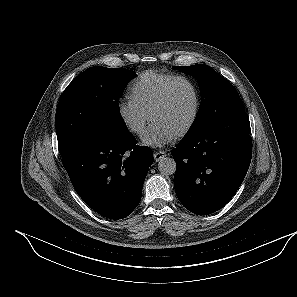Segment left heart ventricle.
<instances>
[{"mask_svg":"<svg viewBox=\"0 0 297 297\" xmlns=\"http://www.w3.org/2000/svg\"><path fill=\"white\" fill-rule=\"evenodd\" d=\"M193 106L194 96L190 86L177 82L166 103L153 114L151 121L162 124L175 135L190 119Z\"/></svg>","mask_w":297,"mask_h":297,"instance_id":"b2bd125f","label":"left heart ventricle"}]
</instances>
